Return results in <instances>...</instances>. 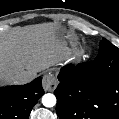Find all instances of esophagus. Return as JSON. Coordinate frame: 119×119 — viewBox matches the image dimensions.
I'll return each instance as SVG.
<instances>
[{"label":"esophagus","mask_w":119,"mask_h":119,"mask_svg":"<svg viewBox=\"0 0 119 119\" xmlns=\"http://www.w3.org/2000/svg\"><path fill=\"white\" fill-rule=\"evenodd\" d=\"M57 84V79L53 73L49 72L43 77L42 86L45 91H54L57 87Z\"/></svg>","instance_id":"34e87169"}]
</instances>
